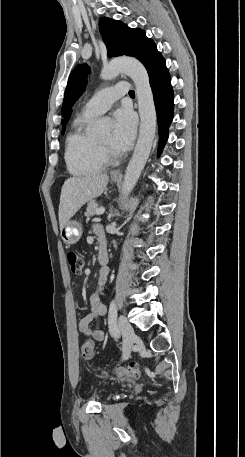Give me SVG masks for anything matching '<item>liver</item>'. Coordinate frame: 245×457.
<instances>
[{
	"instance_id": "1",
	"label": "liver",
	"mask_w": 245,
	"mask_h": 457,
	"mask_svg": "<svg viewBox=\"0 0 245 457\" xmlns=\"http://www.w3.org/2000/svg\"><path fill=\"white\" fill-rule=\"evenodd\" d=\"M107 172H93L85 176H70L65 180L60 196L59 226L63 229L67 220L85 204L88 200L100 196L108 184Z\"/></svg>"
}]
</instances>
